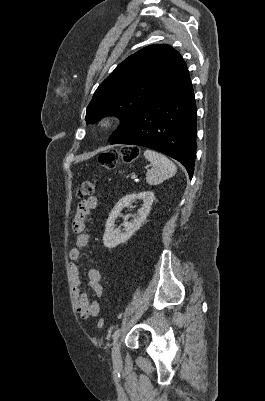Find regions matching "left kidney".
I'll use <instances>...</instances> for the list:
<instances>
[{"label": "left kidney", "mask_w": 265, "mask_h": 401, "mask_svg": "<svg viewBox=\"0 0 265 401\" xmlns=\"http://www.w3.org/2000/svg\"><path fill=\"white\" fill-rule=\"evenodd\" d=\"M137 198H141L143 205L141 209H139L137 215H125V217H123L125 233H121L120 229H114L115 221L117 217H119L122 209H124V207H131L132 203L137 201ZM154 198L155 196L152 190H144V192H137V194L136 192H133V194H126V196L120 198V201L116 203L107 219L105 235L103 237V243L107 249H114L117 245L126 243V241L134 235L135 231L140 229L150 211ZM129 217H134V221L128 223L127 219H129Z\"/></svg>", "instance_id": "left-kidney-1"}]
</instances>
